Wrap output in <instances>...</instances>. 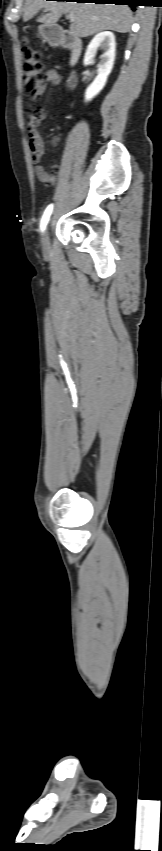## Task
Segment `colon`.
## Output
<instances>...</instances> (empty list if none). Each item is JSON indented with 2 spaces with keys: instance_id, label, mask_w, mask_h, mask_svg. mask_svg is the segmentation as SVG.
<instances>
[{
  "instance_id": "1",
  "label": "colon",
  "mask_w": 162,
  "mask_h": 851,
  "mask_svg": "<svg viewBox=\"0 0 162 851\" xmlns=\"http://www.w3.org/2000/svg\"><path fill=\"white\" fill-rule=\"evenodd\" d=\"M23 54V76L25 89L33 93L42 78V65L40 54L31 45L26 44L22 49ZM28 120V119H27Z\"/></svg>"
}]
</instances>
